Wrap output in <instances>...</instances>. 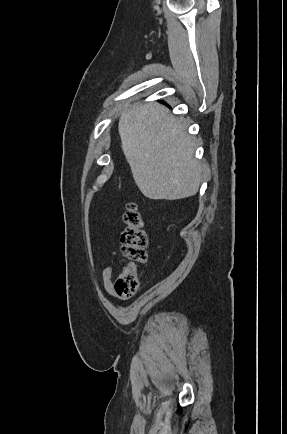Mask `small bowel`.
I'll list each match as a JSON object with an SVG mask.
<instances>
[{
  "label": "small bowel",
  "instance_id": "small-bowel-1",
  "mask_svg": "<svg viewBox=\"0 0 287 434\" xmlns=\"http://www.w3.org/2000/svg\"><path fill=\"white\" fill-rule=\"evenodd\" d=\"M112 276L113 269L111 267H105L102 271V285L109 295L114 296Z\"/></svg>",
  "mask_w": 287,
  "mask_h": 434
}]
</instances>
